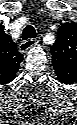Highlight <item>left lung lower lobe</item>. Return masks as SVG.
Masks as SVG:
<instances>
[{
	"instance_id": "left-lung-lower-lobe-1",
	"label": "left lung lower lobe",
	"mask_w": 77,
	"mask_h": 125,
	"mask_svg": "<svg viewBox=\"0 0 77 125\" xmlns=\"http://www.w3.org/2000/svg\"><path fill=\"white\" fill-rule=\"evenodd\" d=\"M54 71L57 75V78L62 83H71L73 81L74 77V67L67 66V65H53Z\"/></svg>"
}]
</instances>
